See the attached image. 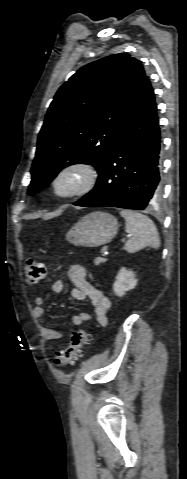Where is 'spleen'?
<instances>
[{"instance_id": "3e777b00", "label": "spleen", "mask_w": 187, "mask_h": 479, "mask_svg": "<svg viewBox=\"0 0 187 479\" xmlns=\"http://www.w3.org/2000/svg\"><path fill=\"white\" fill-rule=\"evenodd\" d=\"M120 215L126 221V232L131 234L124 246L128 253H135L148 246L154 249L160 247L156 226L148 216L125 209L120 211Z\"/></svg>"}]
</instances>
